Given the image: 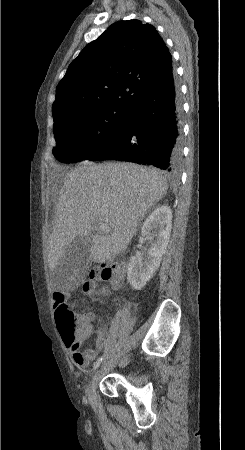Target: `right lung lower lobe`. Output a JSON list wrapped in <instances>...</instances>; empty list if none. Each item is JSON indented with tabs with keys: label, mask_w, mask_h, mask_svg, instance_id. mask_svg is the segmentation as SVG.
<instances>
[{
	"label": "right lung lower lobe",
	"mask_w": 245,
	"mask_h": 450,
	"mask_svg": "<svg viewBox=\"0 0 245 450\" xmlns=\"http://www.w3.org/2000/svg\"><path fill=\"white\" fill-rule=\"evenodd\" d=\"M181 101L173 70L130 106L120 137L89 160H124L150 164L169 174L182 164Z\"/></svg>",
	"instance_id": "1"
}]
</instances>
